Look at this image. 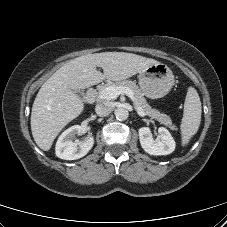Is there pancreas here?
I'll use <instances>...</instances> for the list:
<instances>
[{
	"instance_id": "obj_1",
	"label": "pancreas",
	"mask_w": 227,
	"mask_h": 227,
	"mask_svg": "<svg viewBox=\"0 0 227 227\" xmlns=\"http://www.w3.org/2000/svg\"><path fill=\"white\" fill-rule=\"evenodd\" d=\"M128 87L134 93L135 101L138 106H140L146 115L149 117L158 120L161 124L168 126L171 130L175 129V126L172 124V120L169 116L164 113H160L159 111L152 109L150 105L147 104V101L142 93L141 89L135 84V82L131 80L119 81V82H107L105 85L98 88L100 92L106 87Z\"/></svg>"
}]
</instances>
